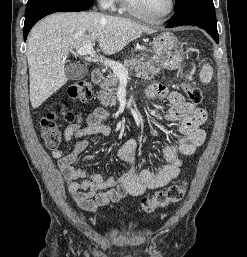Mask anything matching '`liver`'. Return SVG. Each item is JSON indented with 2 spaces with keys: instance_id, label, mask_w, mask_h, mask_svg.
<instances>
[{
  "instance_id": "liver-1",
  "label": "liver",
  "mask_w": 247,
  "mask_h": 257,
  "mask_svg": "<svg viewBox=\"0 0 247 257\" xmlns=\"http://www.w3.org/2000/svg\"><path fill=\"white\" fill-rule=\"evenodd\" d=\"M153 32L130 19L91 11L46 17L33 27L28 37L32 107L38 108L67 82L65 63L70 52L97 40L103 53L112 55L143 33Z\"/></svg>"
}]
</instances>
